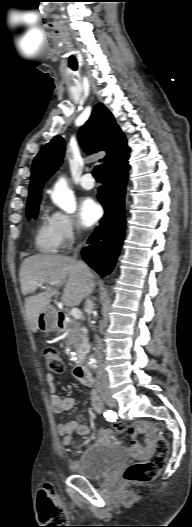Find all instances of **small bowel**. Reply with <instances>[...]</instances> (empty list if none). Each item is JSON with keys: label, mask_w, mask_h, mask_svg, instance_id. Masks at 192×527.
<instances>
[{"label": "small bowel", "mask_w": 192, "mask_h": 527, "mask_svg": "<svg viewBox=\"0 0 192 527\" xmlns=\"http://www.w3.org/2000/svg\"><path fill=\"white\" fill-rule=\"evenodd\" d=\"M46 382L51 390V408L54 413L60 414L71 410L74 407L75 400L71 397L60 396L56 392V381L53 374H47ZM92 405L96 412H101V402L95 392H91ZM128 432L134 436L131 446L128 451L132 457L140 459H148L152 456L155 450L154 443V430L152 427L143 424L135 423L127 428ZM59 435L63 437L64 445H69L72 441L73 435L78 434L80 436H88L91 434L92 429L89 425L81 424L76 420H70L67 422H61L57 426ZM141 434L143 436V444H141L135 437ZM97 442L105 445H118L120 444L117 439L113 436L112 432L108 428H102L97 433Z\"/></svg>", "instance_id": "obj_1"}]
</instances>
